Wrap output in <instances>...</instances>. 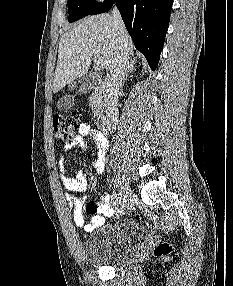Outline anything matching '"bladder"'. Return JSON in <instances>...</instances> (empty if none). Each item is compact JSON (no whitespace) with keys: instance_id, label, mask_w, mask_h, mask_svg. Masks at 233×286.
Returning <instances> with one entry per match:
<instances>
[{"instance_id":"obj_1","label":"bladder","mask_w":233,"mask_h":286,"mask_svg":"<svg viewBox=\"0 0 233 286\" xmlns=\"http://www.w3.org/2000/svg\"><path fill=\"white\" fill-rule=\"evenodd\" d=\"M143 238V228L134 222L99 229L83 245L84 260L92 266L119 267L137 253Z\"/></svg>"}]
</instances>
